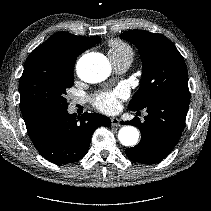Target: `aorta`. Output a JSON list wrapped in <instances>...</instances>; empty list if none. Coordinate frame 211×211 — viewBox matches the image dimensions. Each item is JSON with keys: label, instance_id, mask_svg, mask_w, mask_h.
<instances>
[{"label": "aorta", "instance_id": "aorta-1", "mask_svg": "<svg viewBox=\"0 0 211 211\" xmlns=\"http://www.w3.org/2000/svg\"><path fill=\"white\" fill-rule=\"evenodd\" d=\"M109 73V61L102 54H86L77 63L78 76L88 83L101 82ZM118 139L124 146H133L138 142L139 132L133 126H124L119 130Z\"/></svg>", "mask_w": 211, "mask_h": 211}]
</instances>
